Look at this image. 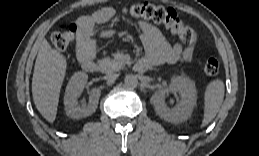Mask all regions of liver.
I'll return each instance as SVG.
<instances>
[{
    "mask_svg": "<svg viewBox=\"0 0 259 156\" xmlns=\"http://www.w3.org/2000/svg\"><path fill=\"white\" fill-rule=\"evenodd\" d=\"M66 69V58L43 39L34 66L32 96L37 110L50 123L56 118Z\"/></svg>",
    "mask_w": 259,
    "mask_h": 156,
    "instance_id": "1",
    "label": "liver"
}]
</instances>
